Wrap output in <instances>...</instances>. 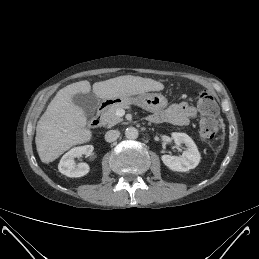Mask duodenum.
<instances>
[{"label":"duodenum","instance_id":"1","mask_svg":"<svg viewBox=\"0 0 259 259\" xmlns=\"http://www.w3.org/2000/svg\"><path fill=\"white\" fill-rule=\"evenodd\" d=\"M110 104H112V101H110V100L103 101L100 103L95 116L90 121V127L97 128L101 125L102 113Z\"/></svg>","mask_w":259,"mask_h":259}]
</instances>
